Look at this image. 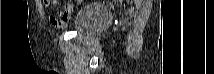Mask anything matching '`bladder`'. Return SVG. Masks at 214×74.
<instances>
[{
  "label": "bladder",
  "instance_id": "1",
  "mask_svg": "<svg viewBox=\"0 0 214 74\" xmlns=\"http://www.w3.org/2000/svg\"><path fill=\"white\" fill-rule=\"evenodd\" d=\"M112 19V15L105 7L88 4L73 19L72 30L79 34L95 35L103 24Z\"/></svg>",
  "mask_w": 214,
  "mask_h": 74
}]
</instances>
